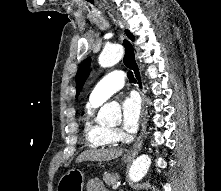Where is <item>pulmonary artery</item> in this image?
Instances as JSON below:
<instances>
[{"label":"pulmonary artery","instance_id":"1","mask_svg":"<svg viewBox=\"0 0 221 191\" xmlns=\"http://www.w3.org/2000/svg\"><path fill=\"white\" fill-rule=\"evenodd\" d=\"M125 74L122 70L116 69L103 77L93 88L89 100L101 104L114 92L124 86Z\"/></svg>","mask_w":221,"mask_h":191}]
</instances>
